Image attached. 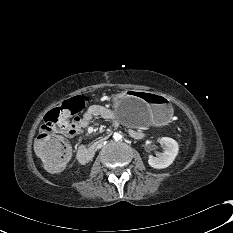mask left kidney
<instances>
[{
	"label": "left kidney",
	"instance_id": "1",
	"mask_svg": "<svg viewBox=\"0 0 233 233\" xmlns=\"http://www.w3.org/2000/svg\"><path fill=\"white\" fill-rule=\"evenodd\" d=\"M160 141L164 144V152L157 157L149 156L148 164L156 169H164L170 166L178 154V143L169 137H162Z\"/></svg>",
	"mask_w": 233,
	"mask_h": 233
}]
</instances>
